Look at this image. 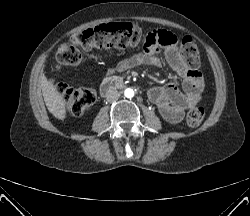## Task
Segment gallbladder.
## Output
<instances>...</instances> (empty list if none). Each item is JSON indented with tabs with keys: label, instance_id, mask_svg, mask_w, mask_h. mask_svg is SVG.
I'll use <instances>...</instances> for the list:
<instances>
[{
	"label": "gallbladder",
	"instance_id": "obj_1",
	"mask_svg": "<svg viewBox=\"0 0 250 216\" xmlns=\"http://www.w3.org/2000/svg\"><path fill=\"white\" fill-rule=\"evenodd\" d=\"M56 68H57V70H58V69H60V67H59V66H56Z\"/></svg>",
	"mask_w": 250,
	"mask_h": 216
}]
</instances>
